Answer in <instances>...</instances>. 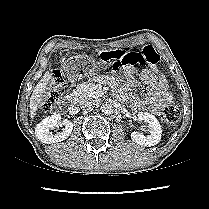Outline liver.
<instances>
[{
	"mask_svg": "<svg viewBox=\"0 0 209 209\" xmlns=\"http://www.w3.org/2000/svg\"><path fill=\"white\" fill-rule=\"evenodd\" d=\"M51 79L52 74L49 71L45 72L42 79L39 81V83L35 86L33 90V93L30 98V115L32 118L36 116L37 105L40 101H42V98L45 96L46 91L48 89V84Z\"/></svg>",
	"mask_w": 209,
	"mask_h": 209,
	"instance_id": "1",
	"label": "liver"
}]
</instances>
